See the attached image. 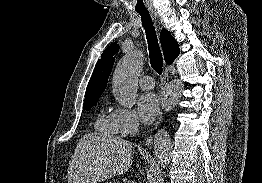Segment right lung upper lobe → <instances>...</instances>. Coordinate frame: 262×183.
<instances>
[{
  "instance_id": "cb5924a9",
  "label": "right lung upper lobe",
  "mask_w": 262,
  "mask_h": 183,
  "mask_svg": "<svg viewBox=\"0 0 262 183\" xmlns=\"http://www.w3.org/2000/svg\"><path fill=\"white\" fill-rule=\"evenodd\" d=\"M160 40L165 61L167 64H172L180 53L178 43L166 29L161 30ZM118 51V44H113L104 50L87 85L85 100L99 99L111 73L115 61L114 54Z\"/></svg>"
}]
</instances>
